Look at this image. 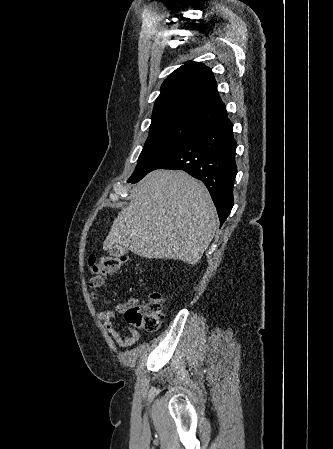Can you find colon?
<instances>
[{
	"label": "colon",
	"instance_id": "5ec220e1",
	"mask_svg": "<svg viewBox=\"0 0 333 449\" xmlns=\"http://www.w3.org/2000/svg\"><path fill=\"white\" fill-rule=\"evenodd\" d=\"M126 262L125 255H91L88 258L90 271L102 275L117 272ZM163 311L162 297L154 293L145 302H131L124 311V317L127 323L135 328L155 331L162 321Z\"/></svg>",
	"mask_w": 333,
	"mask_h": 449
}]
</instances>
